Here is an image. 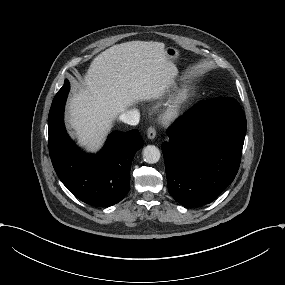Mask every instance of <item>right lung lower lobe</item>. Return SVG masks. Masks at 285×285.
<instances>
[{
    "label": "right lung lower lobe",
    "instance_id": "right-lung-lower-lobe-1",
    "mask_svg": "<svg viewBox=\"0 0 285 285\" xmlns=\"http://www.w3.org/2000/svg\"><path fill=\"white\" fill-rule=\"evenodd\" d=\"M70 84L53 99L49 116V153L62 183L81 201L108 207L121 201L130 188V167L143 146L138 130L112 132L104 148L95 156L82 152L68 137L63 120Z\"/></svg>",
    "mask_w": 285,
    "mask_h": 285
}]
</instances>
